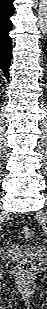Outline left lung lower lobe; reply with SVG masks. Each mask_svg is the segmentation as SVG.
Returning <instances> with one entry per match:
<instances>
[{
	"mask_svg": "<svg viewBox=\"0 0 47 309\" xmlns=\"http://www.w3.org/2000/svg\"><path fill=\"white\" fill-rule=\"evenodd\" d=\"M46 49H47V42H46L45 47H44V50H46Z\"/></svg>",
	"mask_w": 47,
	"mask_h": 309,
	"instance_id": "1",
	"label": "left lung lower lobe"
}]
</instances>
